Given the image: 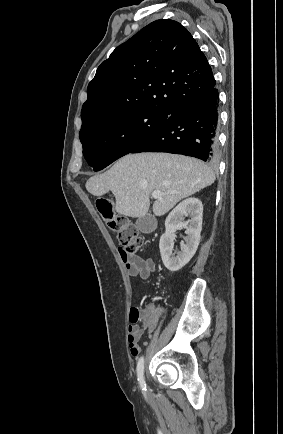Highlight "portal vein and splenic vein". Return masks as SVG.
<instances>
[{
  "mask_svg": "<svg viewBox=\"0 0 283 434\" xmlns=\"http://www.w3.org/2000/svg\"><path fill=\"white\" fill-rule=\"evenodd\" d=\"M161 197H162V193L160 191H153L152 192V198L160 199Z\"/></svg>",
  "mask_w": 283,
  "mask_h": 434,
  "instance_id": "portal-vein-and-splenic-vein-1",
  "label": "portal vein and splenic vein"
}]
</instances>
